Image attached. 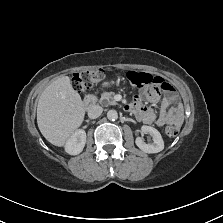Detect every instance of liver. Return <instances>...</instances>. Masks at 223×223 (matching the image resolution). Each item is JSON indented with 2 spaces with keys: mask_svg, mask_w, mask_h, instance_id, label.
Instances as JSON below:
<instances>
[{
  "mask_svg": "<svg viewBox=\"0 0 223 223\" xmlns=\"http://www.w3.org/2000/svg\"><path fill=\"white\" fill-rule=\"evenodd\" d=\"M85 107L68 76L50 84L41 94L37 106L40 132L51 144L63 146L83 122Z\"/></svg>",
  "mask_w": 223,
  "mask_h": 223,
  "instance_id": "liver-1",
  "label": "liver"
}]
</instances>
